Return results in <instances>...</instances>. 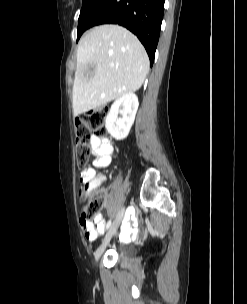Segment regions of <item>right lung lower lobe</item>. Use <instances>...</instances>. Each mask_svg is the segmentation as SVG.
I'll return each instance as SVG.
<instances>
[{
    "mask_svg": "<svg viewBox=\"0 0 247 304\" xmlns=\"http://www.w3.org/2000/svg\"><path fill=\"white\" fill-rule=\"evenodd\" d=\"M164 2L165 0H102L83 19V30L99 24L126 27L144 45L152 66L160 36Z\"/></svg>",
    "mask_w": 247,
    "mask_h": 304,
    "instance_id": "1",
    "label": "right lung lower lobe"
}]
</instances>
